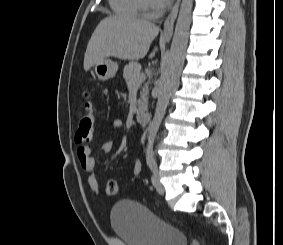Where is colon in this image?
Returning a JSON list of instances; mask_svg holds the SVG:
<instances>
[{
    "label": "colon",
    "mask_w": 283,
    "mask_h": 245,
    "mask_svg": "<svg viewBox=\"0 0 283 245\" xmlns=\"http://www.w3.org/2000/svg\"><path fill=\"white\" fill-rule=\"evenodd\" d=\"M94 133V116L93 104L90 99V92H84V105L83 109L78 115V128L75 134V141L78 144L89 142ZM106 194L114 196L118 193V185L116 181L110 180L106 185Z\"/></svg>",
    "instance_id": "5ec220e1"
}]
</instances>
